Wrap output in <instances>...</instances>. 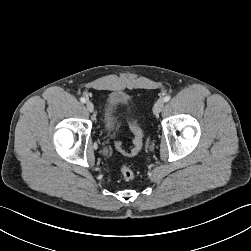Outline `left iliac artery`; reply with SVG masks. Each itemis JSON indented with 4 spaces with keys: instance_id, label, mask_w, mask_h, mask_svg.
Here are the masks:
<instances>
[{
    "instance_id": "1",
    "label": "left iliac artery",
    "mask_w": 251,
    "mask_h": 251,
    "mask_svg": "<svg viewBox=\"0 0 251 251\" xmlns=\"http://www.w3.org/2000/svg\"><path fill=\"white\" fill-rule=\"evenodd\" d=\"M169 100H170V96H165V97H164V101H165V102H168Z\"/></svg>"
}]
</instances>
